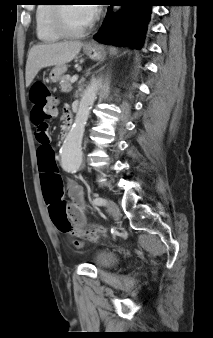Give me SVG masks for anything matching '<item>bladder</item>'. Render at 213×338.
Listing matches in <instances>:
<instances>
[{
	"instance_id": "1",
	"label": "bladder",
	"mask_w": 213,
	"mask_h": 338,
	"mask_svg": "<svg viewBox=\"0 0 213 338\" xmlns=\"http://www.w3.org/2000/svg\"><path fill=\"white\" fill-rule=\"evenodd\" d=\"M118 261V256L111 251H101L95 257V264L98 269L113 267Z\"/></svg>"
}]
</instances>
